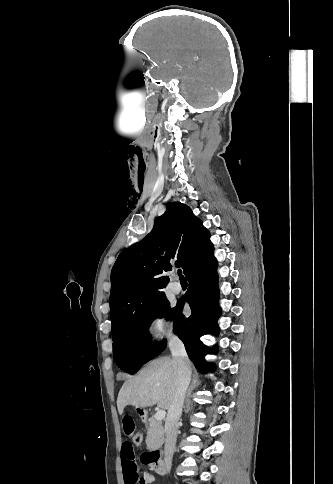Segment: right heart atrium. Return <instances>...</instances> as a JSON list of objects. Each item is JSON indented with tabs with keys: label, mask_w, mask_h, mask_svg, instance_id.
<instances>
[{
	"label": "right heart atrium",
	"mask_w": 333,
	"mask_h": 484,
	"mask_svg": "<svg viewBox=\"0 0 333 484\" xmlns=\"http://www.w3.org/2000/svg\"><path fill=\"white\" fill-rule=\"evenodd\" d=\"M148 333L155 342H164L173 335V325L164 312L154 314L148 322Z\"/></svg>",
	"instance_id": "1"
}]
</instances>
